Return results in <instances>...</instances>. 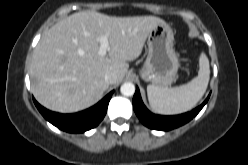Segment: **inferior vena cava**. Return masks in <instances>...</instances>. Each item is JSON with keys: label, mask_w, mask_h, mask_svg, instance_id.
<instances>
[{"label": "inferior vena cava", "mask_w": 248, "mask_h": 165, "mask_svg": "<svg viewBox=\"0 0 248 165\" xmlns=\"http://www.w3.org/2000/svg\"><path fill=\"white\" fill-rule=\"evenodd\" d=\"M117 75L114 72H108L104 76V80L107 84H114L116 82Z\"/></svg>", "instance_id": "602c4592"}]
</instances>
